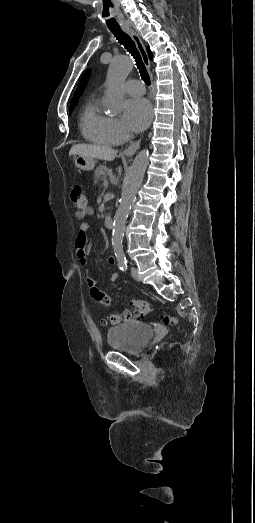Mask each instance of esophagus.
I'll return each instance as SVG.
<instances>
[{
	"label": "esophagus",
	"instance_id": "obj_1",
	"mask_svg": "<svg viewBox=\"0 0 255 523\" xmlns=\"http://www.w3.org/2000/svg\"><path fill=\"white\" fill-rule=\"evenodd\" d=\"M123 30L135 42L137 50L139 51V53H140V55L142 57V61H143L144 65H145V67L149 71L150 80L152 82L153 81V75L150 72L151 64H150V60H149L146 48H145L142 40L140 39L139 35H137V33L134 32V30H132L131 28H123ZM153 118H154V109L151 108V121L153 120ZM140 143H141V140H138V141H136L134 143H131V145H129V147L124 150L125 155H133L137 151V149L140 147Z\"/></svg>",
	"mask_w": 255,
	"mask_h": 523
}]
</instances>
